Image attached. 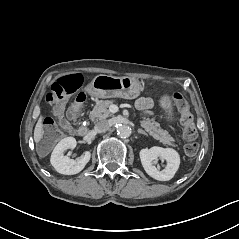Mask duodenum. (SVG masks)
Here are the masks:
<instances>
[{
    "mask_svg": "<svg viewBox=\"0 0 239 239\" xmlns=\"http://www.w3.org/2000/svg\"><path fill=\"white\" fill-rule=\"evenodd\" d=\"M87 134H88V128L86 126L82 125L78 128V135L79 136H85Z\"/></svg>",
    "mask_w": 239,
    "mask_h": 239,
    "instance_id": "1",
    "label": "duodenum"
}]
</instances>
